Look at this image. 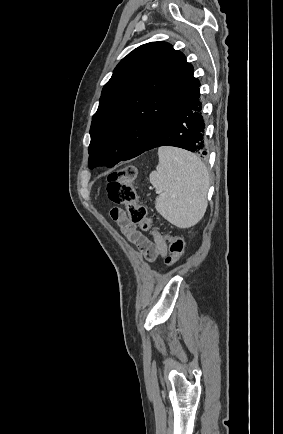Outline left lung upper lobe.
Masks as SVG:
<instances>
[{"label":"left lung upper lobe","instance_id":"5c2ea615","mask_svg":"<svg viewBox=\"0 0 283 434\" xmlns=\"http://www.w3.org/2000/svg\"><path fill=\"white\" fill-rule=\"evenodd\" d=\"M193 66L166 42L130 52L104 85L90 128L89 167H112L144 152L170 112L200 82Z\"/></svg>","mask_w":283,"mask_h":434}]
</instances>
